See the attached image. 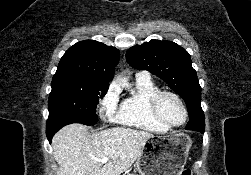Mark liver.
I'll return each mask as SVG.
<instances>
[{"label":"liver","instance_id":"1","mask_svg":"<svg viewBox=\"0 0 251 175\" xmlns=\"http://www.w3.org/2000/svg\"><path fill=\"white\" fill-rule=\"evenodd\" d=\"M148 137L152 133L128 127L89 133L82 123L65 125L52 139L58 175H120L139 157ZM102 157L109 161L102 163Z\"/></svg>","mask_w":251,"mask_h":175}]
</instances>
